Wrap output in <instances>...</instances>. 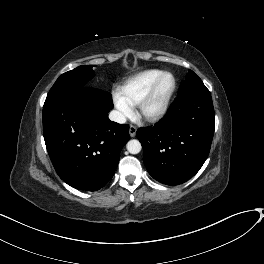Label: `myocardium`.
<instances>
[{
	"mask_svg": "<svg viewBox=\"0 0 264 264\" xmlns=\"http://www.w3.org/2000/svg\"><path fill=\"white\" fill-rule=\"evenodd\" d=\"M170 78L171 86L163 98L162 102L159 106L153 111H147L146 107L149 102L153 99L156 94V91L164 78ZM176 79L173 74L169 72H162L159 77L153 82L150 88L146 91V93L140 98V100L136 104V116L139 119L148 122H154L162 118L169 109L172 97L176 91Z\"/></svg>",
	"mask_w": 264,
	"mask_h": 264,
	"instance_id": "f54148a6",
	"label": "myocardium"
}]
</instances>
